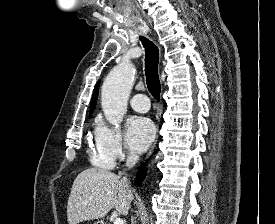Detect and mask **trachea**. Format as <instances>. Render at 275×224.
<instances>
[{
  "mask_svg": "<svg viewBox=\"0 0 275 224\" xmlns=\"http://www.w3.org/2000/svg\"><path fill=\"white\" fill-rule=\"evenodd\" d=\"M140 40L145 48V76L150 94L159 99L161 84L158 75L159 49L149 39L141 36Z\"/></svg>",
  "mask_w": 275,
  "mask_h": 224,
  "instance_id": "3493384b",
  "label": "trachea"
}]
</instances>
